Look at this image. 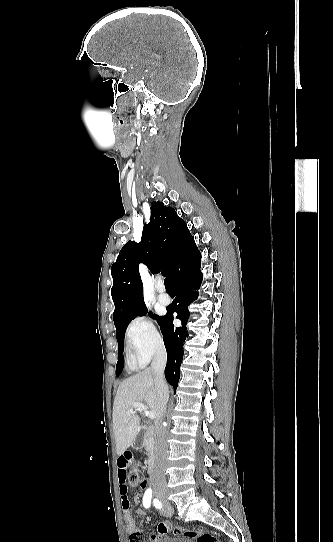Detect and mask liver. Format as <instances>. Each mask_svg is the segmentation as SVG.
Returning <instances> with one entry per match:
<instances>
[{
    "mask_svg": "<svg viewBox=\"0 0 333 542\" xmlns=\"http://www.w3.org/2000/svg\"><path fill=\"white\" fill-rule=\"evenodd\" d=\"M135 402H140L152 412H156L158 420V396L152 368L130 376L117 390L113 404V432L117 456H122L139 434L140 418L136 416L137 408H133Z\"/></svg>",
    "mask_w": 333,
    "mask_h": 542,
    "instance_id": "liver-1",
    "label": "liver"
}]
</instances>
